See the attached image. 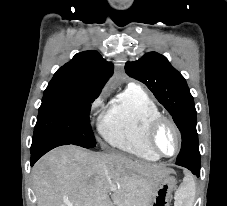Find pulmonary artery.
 Here are the masks:
<instances>
[{"label": "pulmonary artery", "instance_id": "1", "mask_svg": "<svg viewBox=\"0 0 227 206\" xmlns=\"http://www.w3.org/2000/svg\"><path fill=\"white\" fill-rule=\"evenodd\" d=\"M130 86L137 87V86H136V85H134V84H130Z\"/></svg>", "mask_w": 227, "mask_h": 206}]
</instances>
